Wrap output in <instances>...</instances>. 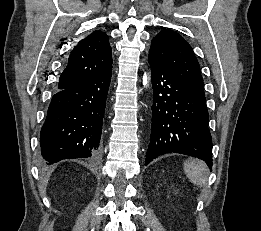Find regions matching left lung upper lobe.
Here are the masks:
<instances>
[{
    "instance_id": "left-lung-upper-lobe-1",
    "label": "left lung upper lobe",
    "mask_w": 261,
    "mask_h": 231,
    "mask_svg": "<svg viewBox=\"0 0 261 231\" xmlns=\"http://www.w3.org/2000/svg\"><path fill=\"white\" fill-rule=\"evenodd\" d=\"M149 59L193 91L204 95L203 79L191 46L178 33L164 29L152 40Z\"/></svg>"
}]
</instances>
